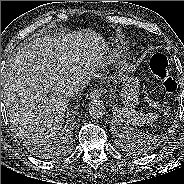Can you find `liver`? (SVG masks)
Instances as JSON below:
<instances>
[{
	"label": "liver",
	"mask_w": 184,
	"mask_h": 184,
	"mask_svg": "<svg viewBox=\"0 0 184 184\" xmlns=\"http://www.w3.org/2000/svg\"><path fill=\"white\" fill-rule=\"evenodd\" d=\"M64 41L59 45L48 36L33 39L18 47L7 63L4 101L12 121L28 129L35 144L55 138L71 78L94 72L101 63L105 42L95 32L72 34Z\"/></svg>",
	"instance_id": "1"
}]
</instances>
